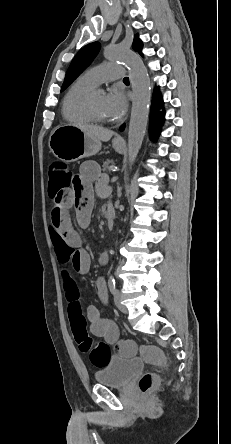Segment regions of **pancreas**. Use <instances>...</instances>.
I'll list each match as a JSON object with an SVG mask.
<instances>
[{"label":"pancreas","mask_w":231,"mask_h":444,"mask_svg":"<svg viewBox=\"0 0 231 444\" xmlns=\"http://www.w3.org/2000/svg\"><path fill=\"white\" fill-rule=\"evenodd\" d=\"M103 170L104 171H107V170H111L113 167H114V162L112 161V160H106L104 163H103Z\"/></svg>","instance_id":"pancreas-1"}]
</instances>
